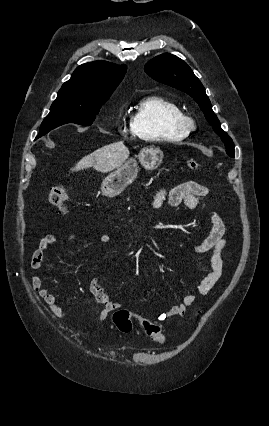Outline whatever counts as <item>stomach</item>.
I'll return each instance as SVG.
<instances>
[{"instance_id":"1","label":"stomach","mask_w":269,"mask_h":426,"mask_svg":"<svg viewBox=\"0 0 269 426\" xmlns=\"http://www.w3.org/2000/svg\"><path fill=\"white\" fill-rule=\"evenodd\" d=\"M138 159L145 169L154 170L161 164L163 152L158 147H146L140 151ZM138 172L139 167L136 160L134 158L127 159L103 180L102 193L109 197L119 195L137 178Z\"/></svg>"}]
</instances>
